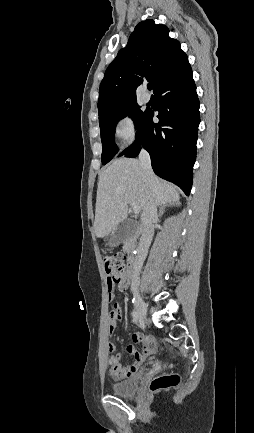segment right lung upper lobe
I'll use <instances>...</instances> for the list:
<instances>
[{"label":"right lung upper lobe","mask_w":254,"mask_h":433,"mask_svg":"<svg viewBox=\"0 0 254 433\" xmlns=\"http://www.w3.org/2000/svg\"><path fill=\"white\" fill-rule=\"evenodd\" d=\"M186 58L179 41L169 37L165 25L151 19L140 22L105 72L98 113L135 102L137 88L146 81L155 92Z\"/></svg>","instance_id":"obj_1"}]
</instances>
